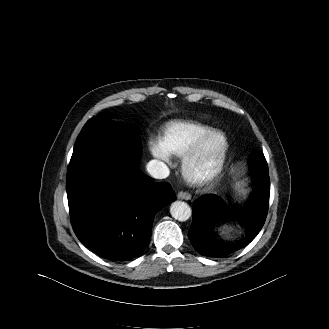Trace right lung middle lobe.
I'll return each instance as SVG.
<instances>
[{
  "label": "right lung middle lobe",
  "mask_w": 329,
  "mask_h": 329,
  "mask_svg": "<svg viewBox=\"0 0 329 329\" xmlns=\"http://www.w3.org/2000/svg\"><path fill=\"white\" fill-rule=\"evenodd\" d=\"M113 153L138 161L142 153L138 131L98 115L82 128L68 166L71 170L89 158Z\"/></svg>",
  "instance_id": "right-lung-middle-lobe-1"
}]
</instances>
